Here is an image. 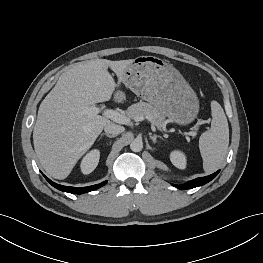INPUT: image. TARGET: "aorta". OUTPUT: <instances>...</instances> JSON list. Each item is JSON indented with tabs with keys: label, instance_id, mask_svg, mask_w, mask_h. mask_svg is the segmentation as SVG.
<instances>
[{
	"label": "aorta",
	"instance_id": "762f6f07",
	"mask_svg": "<svg viewBox=\"0 0 263 263\" xmlns=\"http://www.w3.org/2000/svg\"><path fill=\"white\" fill-rule=\"evenodd\" d=\"M143 148V142L140 139H135L130 144V149L133 152H140Z\"/></svg>",
	"mask_w": 263,
	"mask_h": 263
}]
</instances>
